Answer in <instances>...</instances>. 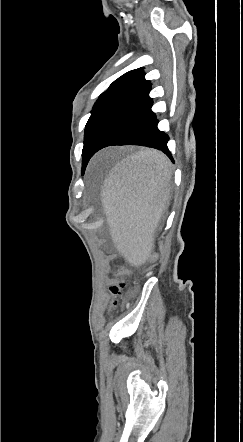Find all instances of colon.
Segmentation results:
<instances>
[{"instance_id": "5ec220e1", "label": "colon", "mask_w": 243, "mask_h": 442, "mask_svg": "<svg viewBox=\"0 0 243 442\" xmlns=\"http://www.w3.org/2000/svg\"><path fill=\"white\" fill-rule=\"evenodd\" d=\"M159 251H163V248H159ZM160 257L157 253L147 255L144 263H119L118 266L112 267L110 272L112 273L113 280L109 287L110 296L112 298L110 303V310L114 309L117 305L118 299H122L125 289L126 279L132 278L133 274H140L141 270L151 271L154 268L153 263L158 262ZM126 278V279H125Z\"/></svg>"}]
</instances>
